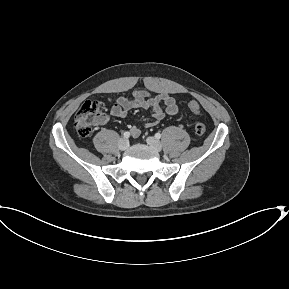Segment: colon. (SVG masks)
Here are the masks:
<instances>
[{
  "mask_svg": "<svg viewBox=\"0 0 289 289\" xmlns=\"http://www.w3.org/2000/svg\"><path fill=\"white\" fill-rule=\"evenodd\" d=\"M189 109L194 114L200 113V105L195 100L188 102ZM103 103L98 100H87L83 103L79 111L75 116V129L80 137H88L93 129V125L98 122L102 116ZM206 131V125L204 122H197L195 124V132L197 134H203Z\"/></svg>",
  "mask_w": 289,
  "mask_h": 289,
  "instance_id": "obj_1",
  "label": "colon"
}]
</instances>
